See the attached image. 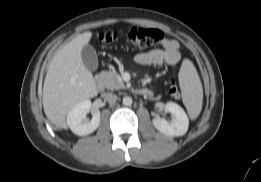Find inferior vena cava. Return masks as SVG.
<instances>
[{"instance_id": "obj_1", "label": "inferior vena cava", "mask_w": 261, "mask_h": 182, "mask_svg": "<svg viewBox=\"0 0 261 182\" xmlns=\"http://www.w3.org/2000/svg\"><path fill=\"white\" fill-rule=\"evenodd\" d=\"M104 100H106L108 103L113 104L117 101V95L113 93H105L103 94Z\"/></svg>"}]
</instances>
